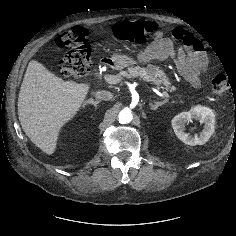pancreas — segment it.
Returning <instances> with one entry per match:
<instances>
[{
  "label": "pancreas",
  "mask_w": 236,
  "mask_h": 236,
  "mask_svg": "<svg viewBox=\"0 0 236 236\" xmlns=\"http://www.w3.org/2000/svg\"><path fill=\"white\" fill-rule=\"evenodd\" d=\"M120 79L125 78H136L142 79L146 82H150L151 84L160 86L165 88L170 92L176 91V87L172 85V82L165 75L163 70H160L158 67L149 64L147 67H130L127 71L120 72L117 75Z\"/></svg>",
  "instance_id": "obj_1"
}]
</instances>
